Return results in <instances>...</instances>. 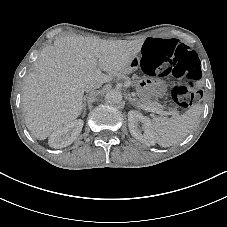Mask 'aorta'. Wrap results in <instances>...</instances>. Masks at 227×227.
<instances>
[{
  "label": "aorta",
  "instance_id": "aorta-1",
  "mask_svg": "<svg viewBox=\"0 0 227 227\" xmlns=\"http://www.w3.org/2000/svg\"><path fill=\"white\" fill-rule=\"evenodd\" d=\"M108 104H118L122 101V93L118 90H110L105 95Z\"/></svg>",
  "mask_w": 227,
  "mask_h": 227
}]
</instances>
